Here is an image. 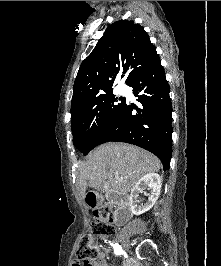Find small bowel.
Segmentation results:
<instances>
[{
  "instance_id": "c3829d8e",
  "label": "small bowel",
  "mask_w": 221,
  "mask_h": 266,
  "mask_svg": "<svg viewBox=\"0 0 221 266\" xmlns=\"http://www.w3.org/2000/svg\"><path fill=\"white\" fill-rule=\"evenodd\" d=\"M72 266H81V264L79 261H74ZM82 266H108L105 261V252H101L93 261L84 262Z\"/></svg>"
}]
</instances>
